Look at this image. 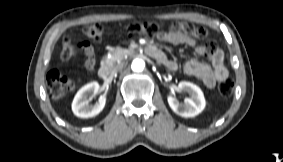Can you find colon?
Returning <instances> with one entry per match:
<instances>
[{
  "mask_svg": "<svg viewBox=\"0 0 283 162\" xmlns=\"http://www.w3.org/2000/svg\"><path fill=\"white\" fill-rule=\"evenodd\" d=\"M128 31L133 36L144 35L147 37L158 36L162 33V26L155 22L133 23L128 26ZM103 27L99 23H93L83 28V34L90 40L97 42L101 39ZM75 54V50L70 40L66 38L63 42L60 58L63 62H68ZM47 85L53 98H61L74 89L75 83L66 74L52 70L47 75ZM234 82L226 79L219 83L218 91L222 97H229L233 93Z\"/></svg>",
  "mask_w": 283,
  "mask_h": 162,
  "instance_id": "5ec220e1",
  "label": "colon"
}]
</instances>
